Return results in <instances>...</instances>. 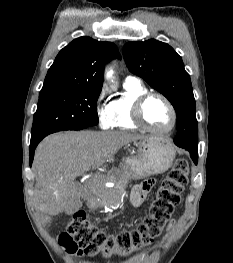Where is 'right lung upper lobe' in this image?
Returning <instances> with one entry per match:
<instances>
[{
    "label": "right lung upper lobe",
    "instance_id": "right-lung-upper-lobe-1",
    "mask_svg": "<svg viewBox=\"0 0 233 263\" xmlns=\"http://www.w3.org/2000/svg\"><path fill=\"white\" fill-rule=\"evenodd\" d=\"M116 57L120 55L111 42L77 38L59 52L39 95L73 89H101L104 66Z\"/></svg>",
    "mask_w": 233,
    "mask_h": 263
}]
</instances>
